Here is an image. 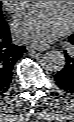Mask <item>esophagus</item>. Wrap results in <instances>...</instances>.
I'll return each mask as SVG.
<instances>
[{
	"label": "esophagus",
	"instance_id": "34e87169",
	"mask_svg": "<svg viewBox=\"0 0 74 122\" xmlns=\"http://www.w3.org/2000/svg\"><path fill=\"white\" fill-rule=\"evenodd\" d=\"M49 48H50V46H44V45H29V46H27V50L30 53H35V52H38V51H45Z\"/></svg>",
	"mask_w": 74,
	"mask_h": 122
}]
</instances>
